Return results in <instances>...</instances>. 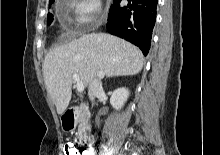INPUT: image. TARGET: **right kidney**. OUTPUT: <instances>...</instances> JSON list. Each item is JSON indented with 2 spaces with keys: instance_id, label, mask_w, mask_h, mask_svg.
Segmentation results:
<instances>
[{
  "instance_id": "1",
  "label": "right kidney",
  "mask_w": 220,
  "mask_h": 155,
  "mask_svg": "<svg viewBox=\"0 0 220 155\" xmlns=\"http://www.w3.org/2000/svg\"><path fill=\"white\" fill-rule=\"evenodd\" d=\"M129 97V91L126 88H118L113 91L110 103L116 109L119 110L122 108L124 103L127 101Z\"/></svg>"
}]
</instances>
